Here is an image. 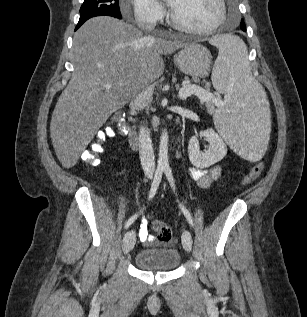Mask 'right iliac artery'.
Returning a JSON list of instances; mask_svg holds the SVG:
<instances>
[{
  "instance_id": "obj_1",
  "label": "right iliac artery",
  "mask_w": 307,
  "mask_h": 317,
  "mask_svg": "<svg viewBox=\"0 0 307 317\" xmlns=\"http://www.w3.org/2000/svg\"><path fill=\"white\" fill-rule=\"evenodd\" d=\"M163 171H164V168L162 166H158L157 167L155 175H154L153 182L151 184L148 200H151L154 197V195H155V193H156V191H157V189L159 187V184L161 182ZM136 217H137V215H134L133 217H131L126 222L124 228L127 229L133 223V221L136 219Z\"/></svg>"
}]
</instances>
